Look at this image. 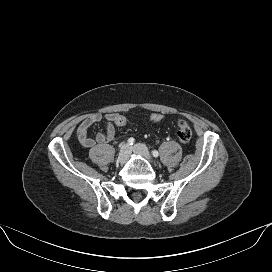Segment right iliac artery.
<instances>
[{"instance_id": "82829eb1", "label": "right iliac artery", "mask_w": 272, "mask_h": 272, "mask_svg": "<svg viewBox=\"0 0 272 272\" xmlns=\"http://www.w3.org/2000/svg\"><path fill=\"white\" fill-rule=\"evenodd\" d=\"M134 142H135V139H134V138L131 137V138L128 139V144H129V145H133Z\"/></svg>"}]
</instances>
